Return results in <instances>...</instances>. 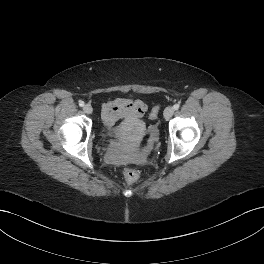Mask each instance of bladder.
Here are the masks:
<instances>
[{
	"label": "bladder",
	"mask_w": 264,
	"mask_h": 264,
	"mask_svg": "<svg viewBox=\"0 0 264 264\" xmlns=\"http://www.w3.org/2000/svg\"><path fill=\"white\" fill-rule=\"evenodd\" d=\"M111 135V132L110 130L107 128V127H102L101 130H100V138L102 140H107Z\"/></svg>",
	"instance_id": "31cf9c89"
}]
</instances>
